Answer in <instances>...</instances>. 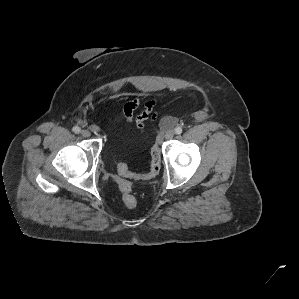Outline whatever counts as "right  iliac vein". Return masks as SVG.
<instances>
[{
	"mask_svg": "<svg viewBox=\"0 0 299 299\" xmlns=\"http://www.w3.org/2000/svg\"><path fill=\"white\" fill-rule=\"evenodd\" d=\"M81 135H82L83 137H89V136L91 135V133H90V131H88V130H82V131H81Z\"/></svg>",
	"mask_w": 299,
	"mask_h": 299,
	"instance_id": "right-iliac-vein-1",
	"label": "right iliac vein"
}]
</instances>
